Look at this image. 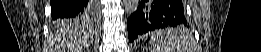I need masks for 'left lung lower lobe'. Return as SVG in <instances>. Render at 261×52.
Here are the masks:
<instances>
[{"mask_svg":"<svg viewBox=\"0 0 261 52\" xmlns=\"http://www.w3.org/2000/svg\"><path fill=\"white\" fill-rule=\"evenodd\" d=\"M186 26L181 0H141L139 7L127 20L129 41L156 29Z\"/></svg>","mask_w":261,"mask_h":52,"instance_id":"left-lung-lower-lobe-1","label":"left lung lower lobe"}]
</instances>
